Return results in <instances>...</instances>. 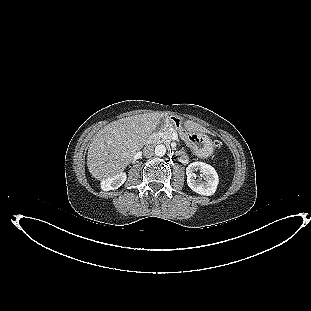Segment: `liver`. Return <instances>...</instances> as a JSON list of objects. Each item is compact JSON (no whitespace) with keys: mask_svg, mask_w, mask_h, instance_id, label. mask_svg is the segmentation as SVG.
<instances>
[{"mask_svg":"<svg viewBox=\"0 0 311 311\" xmlns=\"http://www.w3.org/2000/svg\"><path fill=\"white\" fill-rule=\"evenodd\" d=\"M164 115L153 112L126 117L99 130L92 138L87 153V166L92 176L103 181L122 173ZM185 124L193 131L205 130L192 121Z\"/></svg>","mask_w":311,"mask_h":311,"instance_id":"6515ba94","label":"liver"}]
</instances>
